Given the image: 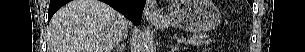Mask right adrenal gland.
Returning a JSON list of instances; mask_svg holds the SVG:
<instances>
[{"label":"right adrenal gland","instance_id":"1","mask_svg":"<svg viewBox=\"0 0 305 52\" xmlns=\"http://www.w3.org/2000/svg\"><path fill=\"white\" fill-rule=\"evenodd\" d=\"M124 50H125V44L121 43V44L117 45V47L115 48L114 52H124Z\"/></svg>","mask_w":305,"mask_h":52}]
</instances>
